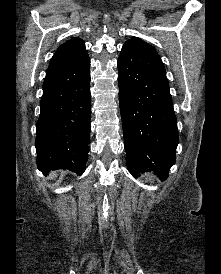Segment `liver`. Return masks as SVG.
I'll list each match as a JSON object with an SVG mask.
<instances>
[{"label": "liver", "instance_id": "obj_1", "mask_svg": "<svg viewBox=\"0 0 221 274\" xmlns=\"http://www.w3.org/2000/svg\"><path fill=\"white\" fill-rule=\"evenodd\" d=\"M55 177H56V173H52L51 178H55Z\"/></svg>", "mask_w": 221, "mask_h": 274}]
</instances>
